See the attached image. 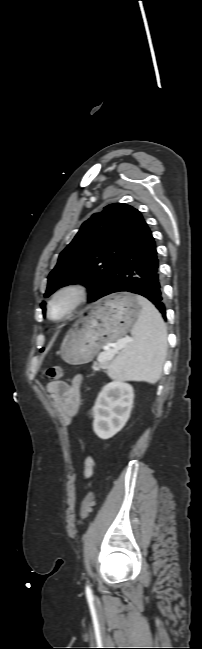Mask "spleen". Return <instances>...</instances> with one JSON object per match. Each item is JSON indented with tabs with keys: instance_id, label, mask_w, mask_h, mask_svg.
<instances>
[{
	"instance_id": "obj_1",
	"label": "spleen",
	"mask_w": 202,
	"mask_h": 649,
	"mask_svg": "<svg viewBox=\"0 0 202 649\" xmlns=\"http://www.w3.org/2000/svg\"><path fill=\"white\" fill-rule=\"evenodd\" d=\"M141 313L131 334L133 341L113 361L108 375L112 379L156 383L162 372L167 351V330L161 314L154 305L137 295Z\"/></svg>"
}]
</instances>
